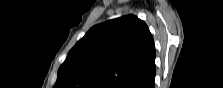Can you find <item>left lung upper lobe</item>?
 <instances>
[{"label": "left lung upper lobe", "mask_w": 223, "mask_h": 88, "mask_svg": "<svg viewBox=\"0 0 223 88\" xmlns=\"http://www.w3.org/2000/svg\"><path fill=\"white\" fill-rule=\"evenodd\" d=\"M147 25L134 15L93 26L69 51L55 88H131L155 67Z\"/></svg>", "instance_id": "obj_1"}]
</instances>
